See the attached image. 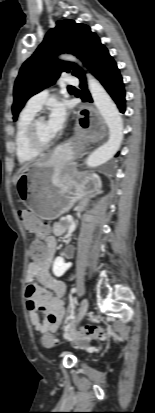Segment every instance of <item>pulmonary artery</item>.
I'll use <instances>...</instances> for the list:
<instances>
[{
    "mask_svg": "<svg viewBox=\"0 0 155 413\" xmlns=\"http://www.w3.org/2000/svg\"><path fill=\"white\" fill-rule=\"evenodd\" d=\"M63 83L65 84H77V78L73 75L68 74L63 80ZM49 95L48 90H43L35 95H33L26 104V107L28 109L34 110V111H38L41 109L42 105L45 103L47 97Z\"/></svg>",
    "mask_w": 155,
    "mask_h": 413,
    "instance_id": "obj_1",
    "label": "pulmonary artery"
}]
</instances>
